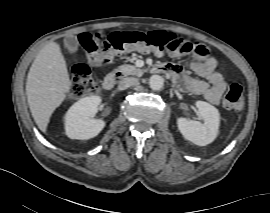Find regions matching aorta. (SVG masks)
I'll return each mask as SVG.
<instances>
[{
    "label": "aorta",
    "mask_w": 270,
    "mask_h": 213,
    "mask_svg": "<svg viewBox=\"0 0 270 213\" xmlns=\"http://www.w3.org/2000/svg\"><path fill=\"white\" fill-rule=\"evenodd\" d=\"M149 86L153 90H160L164 86V79L160 75H152L149 79Z\"/></svg>",
    "instance_id": "obj_1"
}]
</instances>
